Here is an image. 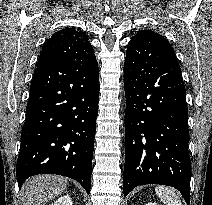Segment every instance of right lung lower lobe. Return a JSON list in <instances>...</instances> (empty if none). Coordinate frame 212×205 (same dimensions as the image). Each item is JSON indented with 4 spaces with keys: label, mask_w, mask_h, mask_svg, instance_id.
Returning a JSON list of instances; mask_svg holds the SVG:
<instances>
[{
    "label": "right lung lower lobe",
    "mask_w": 212,
    "mask_h": 205,
    "mask_svg": "<svg viewBox=\"0 0 212 205\" xmlns=\"http://www.w3.org/2000/svg\"><path fill=\"white\" fill-rule=\"evenodd\" d=\"M97 60H63L34 70L16 175L52 173L78 181L89 194L98 115Z\"/></svg>",
    "instance_id": "right-lung-lower-lobe-1"
}]
</instances>
